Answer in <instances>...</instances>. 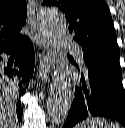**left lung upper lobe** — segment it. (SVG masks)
Instances as JSON below:
<instances>
[{"label":"left lung upper lobe","instance_id":"left-lung-upper-lobe-1","mask_svg":"<svg viewBox=\"0 0 125 128\" xmlns=\"http://www.w3.org/2000/svg\"><path fill=\"white\" fill-rule=\"evenodd\" d=\"M65 13L73 39L82 45L84 65L116 61L120 50L104 0H43Z\"/></svg>","mask_w":125,"mask_h":128}]
</instances>
